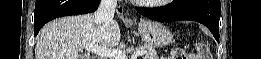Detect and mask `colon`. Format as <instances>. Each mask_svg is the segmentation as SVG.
Returning <instances> with one entry per match:
<instances>
[{
    "label": "colon",
    "instance_id": "colon-1",
    "mask_svg": "<svg viewBox=\"0 0 261 59\" xmlns=\"http://www.w3.org/2000/svg\"><path fill=\"white\" fill-rule=\"evenodd\" d=\"M199 50V57L201 59H208L209 56V50L208 47L205 44H200L198 47ZM172 57L174 59H191L189 55H187L182 49H175L172 52Z\"/></svg>",
    "mask_w": 261,
    "mask_h": 59
}]
</instances>
